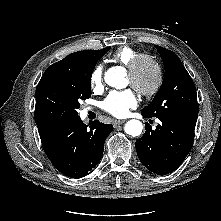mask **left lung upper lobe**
<instances>
[{
  "label": "left lung upper lobe",
  "instance_id": "obj_1",
  "mask_svg": "<svg viewBox=\"0 0 221 221\" xmlns=\"http://www.w3.org/2000/svg\"><path fill=\"white\" fill-rule=\"evenodd\" d=\"M156 48L164 62L165 79L142 114L168 123L195 126L198 104L194 82L175 53L160 46Z\"/></svg>",
  "mask_w": 221,
  "mask_h": 221
}]
</instances>
